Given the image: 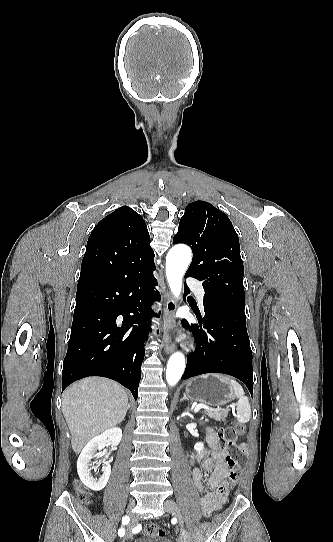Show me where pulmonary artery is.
<instances>
[{"label":"pulmonary artery","instance_id":"1","mask_svg":"<svg viewBox=\"0 0 333 542\" xmlns=\"http://www.w3.org/2000/svg\"><path fill=\"white\" fill-rule=\"evenodd\" d=\"M190 281L187 283L189 286H191L193 292H194V295L195 296H198V302L201 306V308H203V288H202V285L200 282L198 281H195V282H191L194 278L192 276H190L188 278Z\"/></svg>","mask_w":333,"mask_h":542}]
</instances>
